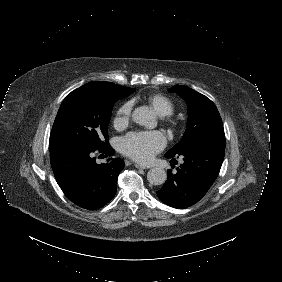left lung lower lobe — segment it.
I'll return each mask as SVG.
<instances>
[{
	"label": "left lung lower lobe",
	"mask_w": 282,
	"mask_h": 282,
	"mask_svg": "<svg viewBox=\"0 0 282 282\" xmlns=\"http://www.w3.org/2000/svg\"><path fill=\"white\" fill-rule=\"evenodd\" d=\"M224 154L225 138L202 140L187 147L176 154L184 157V163L177 168L176 174L168 170L167 181L157 196L165 204L178 209L195 204L216 180Z\"/></svg>",
	"instance_id": "obj_1"
}]
</instances>
